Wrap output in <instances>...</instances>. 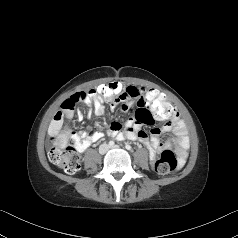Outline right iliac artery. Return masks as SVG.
<instances>
[{
    "mask_svg": "<svg viewBox=\"0 0 238 238\" xmlns=\"http://www.w3.org/2000/svg\"><path fill=\"white\" fill-rule=\"evenodd\" d=\"M115 145V142L114 141H109V146L112 147Z\"/></svg>",
    "mask_w": 238,
    "mask_h": 238,
    "instance_id": "1",
    "label": "right iliac artery"
}]
</instances>
